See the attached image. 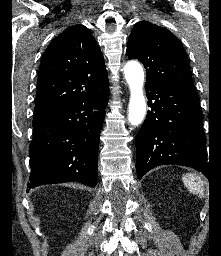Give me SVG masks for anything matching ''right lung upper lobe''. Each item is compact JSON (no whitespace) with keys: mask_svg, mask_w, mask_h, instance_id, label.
I'll return each instance as SVG.
<instances>
[{"mask_svg":"<svg viewBox=\"0 0 221 256\" xmlns=\"http://www.w3.org/2000/svg\"><path fill=\"white\" fill-rule=\"evenodd\" d=\"M108 86L104 58L95 38L83 25L70 26L43 55L34 116L97 94Z\"/></svg>","mask_w":221,"mask_h":256,"instance_id":"obj_1","label":"right lung upper lobe"}]
</instances>
